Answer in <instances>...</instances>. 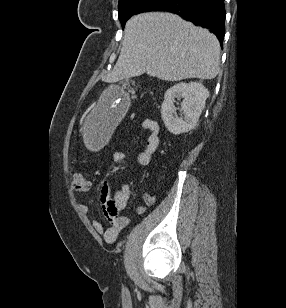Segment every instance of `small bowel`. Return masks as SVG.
<instances>
[{"mask_svg":"<svg viewBox=\"0 0 286 308\" xmlns=\"http://www.w3.org/2000/svg\"><path fill=\"white\" fill-rule=\"evenodd\" d=\"M140 129L149 133L146 148L137 157V162L145 166L150 163L153 153L159 146V125L156 121L147 118L140 122ZM123 157L124 152L122 150H117L114 153V158L116 160H120ZM130 194L131 189L129 185L125 183L117 186L113 194L109 183L104 182L100 188L99 201L104 215L109 221V226L105 227L98 220H93L92 225L98 233L103 235L104 240L108 243H113L117 239L121 229L130 221V217L121 215V211L126 207ZM142 198L143 203L138 205L135 209L138 215L143 214L147 206L154 204L156 199L150 192L144 193ZM80 209L84 213L89 212V207L87 205H80Z\"/></svg>","mask_w":286,"mask_h":308,"instance_id":"small-bowel-1","label":"small bowel"}]
</instances>
